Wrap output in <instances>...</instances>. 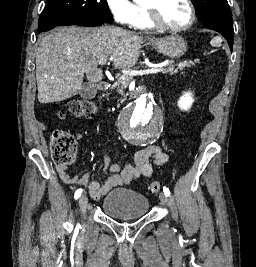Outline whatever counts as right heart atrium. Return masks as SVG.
Listing matches in <instances>:
<instances>
[{
	"mask_svg": "<svg viewBox=\"0 0 256 267\" xmlns=\"http://www.w3.org/2000/svg\"><path fill=\"white\" fill-rule=\"evenodd\" d=\"M113 18L115 22H120V25L129 26V27L132 26V20H133L132 16L119 17L113 13ZM112 55L113 54H108V56H112Z\"/></svg>",
	"mask_w": 256,
	"mask_h": 267,
	"instance_id": "obj_1",
	"label": "right heart atrium"
}]
</instances>
